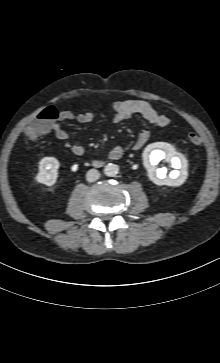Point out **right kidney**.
Segmentation results:
<instances>
[{
	"label": "right kidney",
	"mask_w": 220,
	"mask_h": 363,
	"mask_svg": "<svg viewBox=\"0 0 220 363\" xmlns=\"http://www.w3.org/2000/svg\"><path fill=\"white\" fill-rule=\"evenodd\" d=\"M59 166V161L56 158L44 157L39 162V173L36 176V180L47 186L54 185L58 177Z\"/></svg>",
	"instance_id": "obj_1"
}]
</instances>
